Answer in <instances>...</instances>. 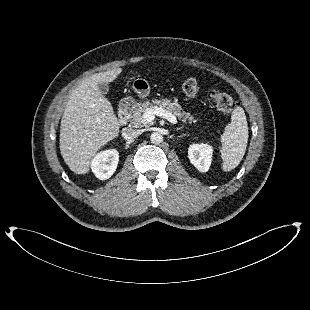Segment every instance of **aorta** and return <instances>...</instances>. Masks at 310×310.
I'll list each match as a JSON object with an SVG mask.
<instances>
[{"instance_id":"obj_1","label":"aorta","mask_w":310,"mask_h":310,"mask_svg":"<svg viewBox=\"0 0 310 310\" xmlns=\"http://www.w3.org/2000/svg\"><path fill=\"white\" fill-rule=\"evenodd\" d=\"M150 140L153 144H160L163 142V136L159 132H154L151 134Z\"/></svg>"}]
</instances>
